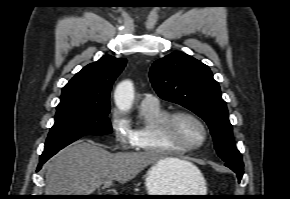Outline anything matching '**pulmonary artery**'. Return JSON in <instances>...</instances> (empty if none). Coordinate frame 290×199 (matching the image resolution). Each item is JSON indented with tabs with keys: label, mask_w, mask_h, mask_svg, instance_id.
I'll list each match as a JSON object with an SVG mask.
<instances>
[{
	"label": "pulmonary artery",
	"mask_w": 290,
	"mask_h": 199,
	"mask_svg": "<svg viewBox=\"0 0 290 199\" xmlns=\"http://www.w3.org/2000/svg\"><path fill=\"white\" fill-rule=\"evenodd\" d=\"M141 105L156 106L159 105L158 99L151 94H144L141 99Z\"/></svg>",
	"instance_id": "obj_1"
}]
</instances>
